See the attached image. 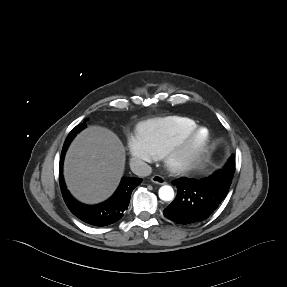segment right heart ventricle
Here are the masks:
<instances>
[{
	"mask_svg": "<svg viewBox=\"0 0 287 287\" xmlns=\"http://www.w3.org/2000/svg\"><path fill=\"white\" fill-rule=\"evenodd\" d=\"M195 127L194 120L172 115L147 119L141 124L139 132L147 138L156 155L162 157Z\"/></svg>",
	"mask_w": 287,
	"mask_h": 287,
	"instance_id": "1",
	"label": "right heart ventricle"
}]
</instances>
